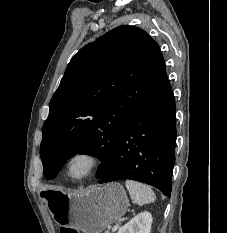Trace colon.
<instances>
[{"instance_id":"1","label":"colon","mask_w":227,"mask_h":233,"mask_svg":"<svg viewBox=\"0 0 227 233\" xmlns=\"http://www.w3.org/2000/svg\"><path fill=\"white\" fill-rule=\"evenodd\" d=\"M60 233H80V232L73 228H61Z\"/></svg>"}]
</instances>
